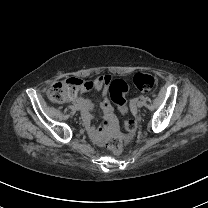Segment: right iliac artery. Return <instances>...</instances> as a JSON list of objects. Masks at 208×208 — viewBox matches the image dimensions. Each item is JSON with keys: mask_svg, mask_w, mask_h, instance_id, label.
<instances>
[{"mask_svg": "<svg viewBox=\"0 0 208 208\" xmlns=\"http://www.w3.org/2000/svg\"><path fill=\"white\" fill-rule=\"evenodd\" d=\"M72 104L74 105V106H76L77 105V103L74 101V102H72Z\"/></svg>", "mask_w": 208, "mask_h": 208, "instance_id": "1", "label": "right iliac artery"}]
</instances>
